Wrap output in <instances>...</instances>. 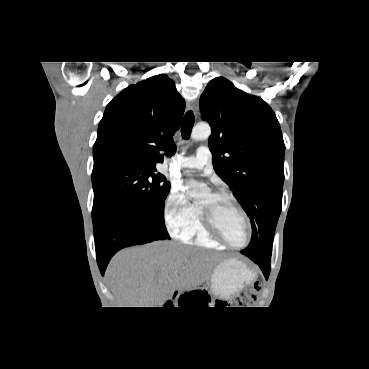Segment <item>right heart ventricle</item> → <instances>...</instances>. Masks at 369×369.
<instances>
[{"instance_id": "e07e8e85", "label": "right heart ventricle", "mask_w": 369, "mask_h": 369, "mask_svg": "<svg viewBox=\"0 0 369 369\" xmlns=\"http://www.w3.org/2000/svg\"><path fill=\"white\" fill-rule=\"evenodd\" d=\"M184 241H190L198 246L207 248H221L222 244L213 239L204 229L200 218V212L197 213L187 233L179 236Z\"/></svg>"}]
</instances>
